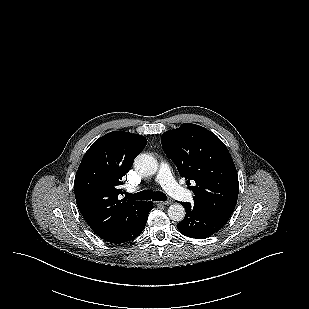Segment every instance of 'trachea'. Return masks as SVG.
<instances>
[{
	"label": "trachea",
	"mask_w": 309,
	"mask_h": 309,
	"mask_svg": "<svg viewBox=\"0 0 309 309\" xmlns=\"http://www.w3.org/2000/svg\"><path fill=\"white\" fill-rule=\"evenodd\" d=\"M126 197L134 200H153L166 201L167 197L163 192H153L151 190H144L136 194L126 193Z\"/></svg>",
	"instance_id": "3493384b"
}]
</instances>
